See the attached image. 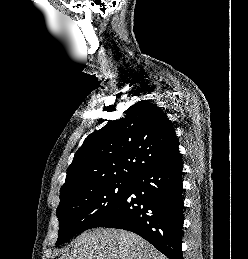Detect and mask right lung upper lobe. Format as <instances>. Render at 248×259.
<instances>
[{"label": "right lung upper lobe", "mask_w": 248, "mask_h": 259, "mask_svg": "<svg viewBox=\"0 0 248 259\" xmlns=\"http://www.w3.org/2000/svg\"><path fill=\"white\" fill-rule=\"evenodd\" d=\"M125 113V118L110 121L85 139L67 169L60 198L87 184L131 181L180 156L175 130L160 107L139 101Z\"/></svg>", "instance_id": "1"}]
</instances>
